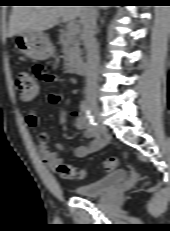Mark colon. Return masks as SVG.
<instances>
[{"instance_id":"colon-1","label":"colon","mask_w":170,"mask_h":231,"mask_svg":"<svg viewBox=\"0 0 170 231\" xmlns=\"http://www.w3.org/2000/svg\"><path fill=\"white\" fill-rule=\"evenodd\" d=\"M15 88L24 101L33 100L39 91L38 82L33 78V76L26 71H20L15 77ZM127 154L125 153V157ZM117 165V159L108 158L104 161L103 167L105 170H113ZM59 175L64 179H74V178H83L86 175L85 170L78 169L70 164H60L57 168Z\"/></svg>"}]
</instances>
